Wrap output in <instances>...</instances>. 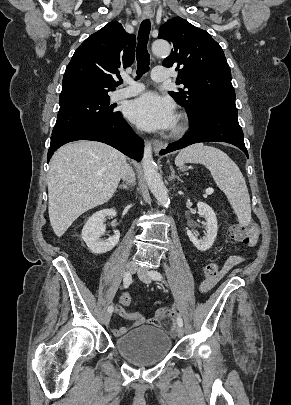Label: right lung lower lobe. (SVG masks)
Listing matches in <instances>:
<instances>
[{
	"label": "right lung lower lobe",
	"instance_id": "obj_1",
	"mask_svg": "<svg viewBox=\"0 0 291 405\" xmlns=\"http://www.w3.org/2000/svg\"><path fill=\"white\" fill-rule=\"evenodd\" d=\"M77 140H92L106 143L125 155L140 161L143 156V140L137 136L121 113L106 123H90L75 126L52 135L47 155L49 162L60 146Z\"/></svg>",
	"mask_w": 291,
	"mask_h": 405
}]
</instances>
